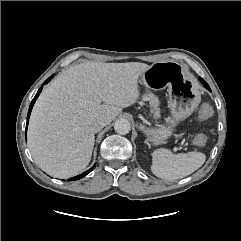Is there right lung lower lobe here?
<instances>
[{"mask_svg": "<svg viewBox=\"0 0 241 241\" xmlns=\"http://www.w3.org/2000/svg\"><path fill=\"white\" fill-rule=\"evenodd\" d=\"M52 76H53V75H52ZM52 76H50V77L44 82V84L48 83V82L50 81V79L52 78ZM42 88H43V87H41V88L38 90L37 94L35 95L34 99L32 100V102H31V104H30L29 111H28V115H27L26 131H27V125H28V120H29L30 114H31V110H32V108H33V105H34L36 99L38 98L39 94L41 93ZM25 135H26V132H25ZM94 167H95V165H94L91 169H89L88 171L84 172L83 174H81V175H79V176L74 177V178L71 179V180L74 181V180H78V179L83 178V177L86 176L88 173H90V172L93 170Z\"/></svg>", "mask_w": 241, "mask_h": 241, "instance_id": "98d812e1", "label": "right lung lower lobe"}]
</instances>
